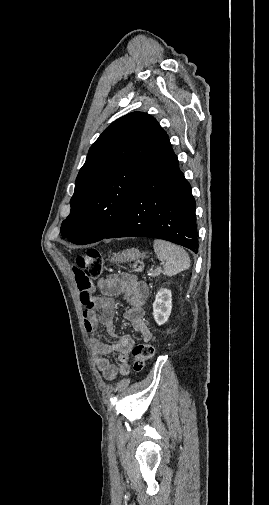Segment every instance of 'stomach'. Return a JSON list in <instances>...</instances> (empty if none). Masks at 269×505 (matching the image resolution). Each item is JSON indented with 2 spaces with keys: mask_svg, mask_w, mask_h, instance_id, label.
I'll use <instances>...</instances> for the list:
<instances>
[{
  "mask_svg": "<svg viewBox=\"0 0 269 505\" xmlns=\"http://www.w3.org/2000/svg\"><path fill=\"white\" fill-rule=\"evenodd\" d=\"M143 253L138 248H130L122 251L121 253L115 254L114 259L118 262H132L140 260L143 257Z\"/></svg>",
  "mask_w": 269,
  "mask_h": 505,
  "instance_id": "1",
  "label": "stomach"
}]
</instances>
